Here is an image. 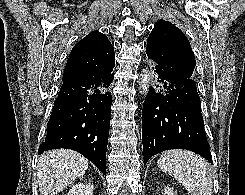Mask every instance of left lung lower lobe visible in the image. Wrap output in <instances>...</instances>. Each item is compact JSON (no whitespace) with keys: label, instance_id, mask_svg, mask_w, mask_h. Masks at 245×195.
<instances>
[{"label":"left lung lower lobe","instance_id":"1","mask_svg":"<svg viewBox=\"0 0 245 195\" xmlns=\"http://www.w3.org/2000/svg\"><path fill=\"white\" fill-rule=\"evenodd\" d=\"M153 71L158 85L150 87L142 111L144 164L169 149H187L212 163L195 82L157 65Z\"/></svg>","mask_w":245,"mask_h":195}]
</instances>
